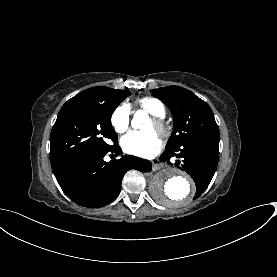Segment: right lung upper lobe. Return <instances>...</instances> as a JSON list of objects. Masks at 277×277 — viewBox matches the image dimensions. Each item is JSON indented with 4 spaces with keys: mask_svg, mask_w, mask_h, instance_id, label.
I'll list each match as a JSON object with an SVG mask.
<instances>
[{
    "mask_svg": "<svg viewBox=\"0 0 277 277\" xmlns=\"http://www.w3.org/2000/svg\"><path fill=\"white\" fill-rule=\"evenodd\" d=\"M114 90L115 89L108 88V87H93V88L86 89L81 93L106 98V97H110L113 94Z\"/></svg>",
    "mask_w": 277,
    "mask_h": 277,
    "instance_id": "1",
    "label": "right lung upper lobe"
}]
</instances>
